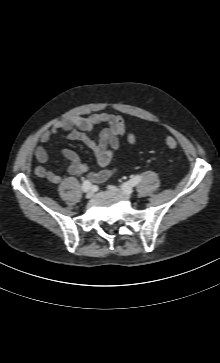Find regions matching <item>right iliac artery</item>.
Returning a JSON list of instances; mask_svg holds the SVG:
<instances>
[{"mask_svg":"<svg viewBox=\"0 0 220 363\" xmlns=\"http://www.w3.org/2000/svg\"><path fill=\"white\" fill-rule=\"evenodd\" d=\"M91 189V183H90V181L89 180H84L83 181V184H82V190L84 191V192H87V191H89Z\"/></svg>","mask_w":220,"mask_h":363,"instance_id":"right-iliac-artery-1","label":"right iliac artery"}]
</instances>
